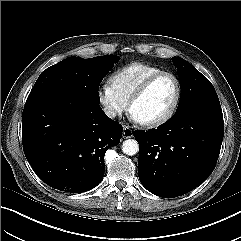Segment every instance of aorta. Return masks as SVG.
<instances>
[{"mask_svg":"<svg viewBox=\"0 0 241 241\" xmlns=\"http://www.w3.org/2000/svg\"><path fill=\"white\" fill-rule=\"evenodd\" d=\"M122 151L126 155L133 156L139 151V144L134 139H127L122 144Z\"/></svg>","mask_w":241,"mask_h":241,"instance_id":"762f6f07","label":"aorta"}]
</instances>
